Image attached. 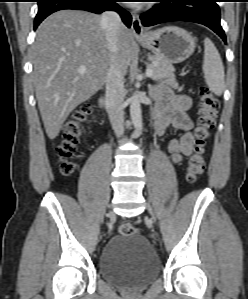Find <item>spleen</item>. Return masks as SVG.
Instances as JSON below:
<instances>
[{
	"label": "spleen",
	"mask_w": 248,
	"mask_h": 299,
	"mask_svg": "<svg viewBox=\"0 0 248 299\" xmlns=\"http://www.w3.org/2000/svg\"><path fill=\"white\" fill-rule=\"evenodd\" d=\"M202 69L209 89L220 96L225 88L224 67L218 50L209 38L204 39Z\"/></svg>",
	"instance_id": "1"
}]
</instances>
